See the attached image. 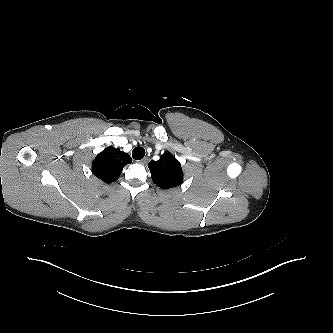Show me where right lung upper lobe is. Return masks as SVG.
Returning <instances> with one entry per match:
<instances>
[{
  "mask_svg": "<svg viewBox=\"0 0 333 333\" xmlns=\"http://www.w3.org/2000/svg\"><path fill=\"white\" fill-rule=\"evenodd\" d=\"M131 162L129 154L110 146L95 157L92 172L105 183H112L118 179L123 167Z\"/></svg>",
  "mask_w": 333,
  "mask_h": 333,
  "instance_id": "1",
  "label": "right lung upper lobe"
}]
</instances>
